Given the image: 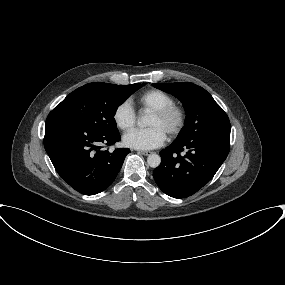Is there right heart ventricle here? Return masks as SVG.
Masks as SVG:
<instances>
[{
    "label": "right heart ventricle",
    "mask_w": 285,
    "mask_h": 285,
    "mask_svg": "<svg viewBox=\"0 0 285 285\" xmlns=\"http://www.w3.org/2000/svg\"><path fill=\"white\" fill-rule=\"evenodd\" d=\"M137 103L142 109L154 111L173 104L174 98L162 90L150 89L138 96Z\"/></svg>",
    "instance_id": "e07e8e85"
}]
</instances>
